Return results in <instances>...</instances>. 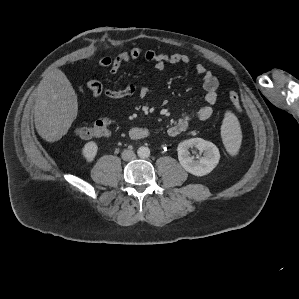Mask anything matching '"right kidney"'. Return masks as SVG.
I'll use <instances>...</instances> for the list:
<instances>
[{"instance_id": "1", "label": "right kidney", "mask_w": 299, "mask_h": 299, "mask_svg": "<svg viewBox=\"0 0 299 299\" xmlns=\"http://www.w3.org/2000/svg\"><path fill=\"white\" fill-rule=\"evenodd\" d=\"M98 145L94 141H90L84 145L82 148V155L87 160V162H92L97 155Z\"/></svg>"}]
</instances>
